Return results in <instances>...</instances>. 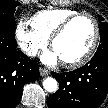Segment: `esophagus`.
<instances>
[{"instance_id": "obj_1", "label": "esophagus", "mask_w": 108, "mask_h": 108, "mask_svg": "<svg viewBox=\"0 0 108 108\" xmlns=\"http://www.w3.org/2000/svg\"><path fill=\"white\" fill-rule=\"evenodd\" d=\"M39 70H40L41 76H47V75L50 74V71H48V70L45 69V68H42V67H41Z\"/></svg>"}]
</instances>
